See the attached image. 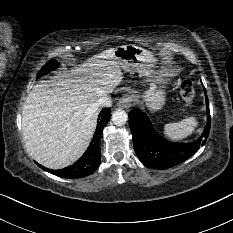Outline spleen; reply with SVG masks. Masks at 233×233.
<instances>
[{"label":"spleen","instance_id":"3e777b00","mask_svg":"<svg viewBox=\"0 0 233 233\" xmlns=\"http://www.w3.org/2000/svg\"><path fill=\"white\" fill-rule=\"evenodd\" d=\"M197 125L196 117H189L178 123L164 125V135L171 140H182L191 135Z\"/></svg>","mask_w":233,"mask_h":233}]
</instances>
